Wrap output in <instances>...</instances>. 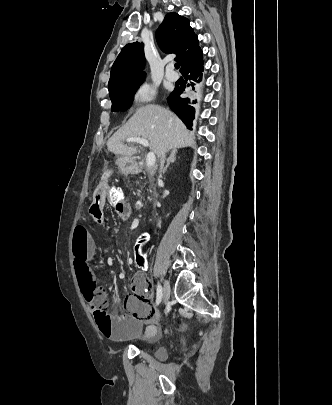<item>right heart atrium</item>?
<instances>
[{
  "label": "right heart atrium",
  "mask_w": 332,
  "mask_h": 405,
  "mask_svg": "<svg viewBox=\"0 0 332 405\" xmlns=\"http://www.w3.org/2000/svg\"><path fill=\"white\" fill-rule=\"evenodd\" d=\"M157 98V89L148 83L138 85L131 96V100L135 105L149 104Z\"/></svg>",
  "instance_id": "obj_1"
}]
</instances>
